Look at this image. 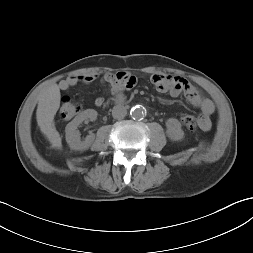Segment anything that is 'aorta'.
Listing matches in <instances>:
<instances>
[{
    "instance_id": "1",
    "label": "aorta",
    "mask_w": 253,
    "mask_h": 253,
    "mask_svg": "<svg viewBox=\"0 0 253 253\" xmlns=\"http://www.w3.org/2000/svg\"><path fill=\"white\" fill-rule=\"evenodd\" d=\"M130 114L133 119H143L146 115V110L141 105H136L131 108Z\"/></svg>"
}]
</instances>
